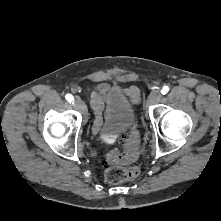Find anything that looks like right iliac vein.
<instances>
[{
  "label": "right iliac vein",
  "instance_id": "63e3f726",
  "mask_svg": "<svg viewBox=\"0 0 221 221\" xmlns=\"http://www.w3.org/2000/svg\"><path fill=\"white\" fill-rule=\"evenodd\" d=\"M74 106H75V108H76L77 110H79L81 113H83L84 115L86 114V112H87L86 105H85L84 102L81 101L79 98L76 99Z\"/></svg>",
  "mask_w": 221,
  "mask_h": 221
}]
</instances>
